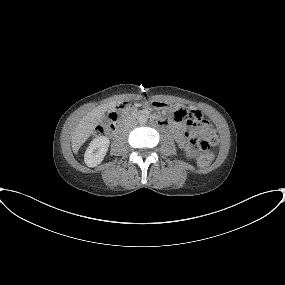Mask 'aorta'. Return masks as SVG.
<instances>
[{"instance_id":"obj_1","label":"aorta","mask_w":285,"mask_h":285,"mask_svg":"<svg viewBox=\"0 0 285 285\" xmlns=\"http://www.w3.org/2000/svg\"><path fill=\"white\" fill-rule=\"evenodd\" d=\"M147 120H148V118H147L146 115H140V116L138 117V123H139V124H145V123L147 122Z\"/></svg>"}]
</instances>
